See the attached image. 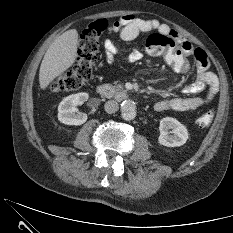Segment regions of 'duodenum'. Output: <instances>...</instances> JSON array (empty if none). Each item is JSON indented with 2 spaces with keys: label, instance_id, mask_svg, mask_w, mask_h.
<instances>
[{
  "label": "duodenum",
  "instance_id": "410a0bca",
  "mask_svg": "<svg viewBox=\"0 0 233 233\" xmlns=\"http://www.w3.org/2000/svg\"><path fill=\"white\" fill-rule=\"evenodd\" d=\"M97 93L103 98H113L115 96L126 97L127 94L125 91H117L112 86L107 84H100L97 86Z\"/></svg>",
  "mask_w": 233,
  "mask_h": 233
}]
</instances>
